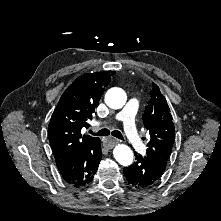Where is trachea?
Wrapping results in <instances>:
<instances>
[{
  "instance_id": "trachea-1",
  "label": "trachea",
  "mask_w": 221,
  "mask_h": 221,
  "mask_svg": "<svg viewBox=\"0 0 221 221\" xmlns=\"http://www.w3.org/2000/svg\"><path fill=\"white\" fill-rule=\"evenodd\" d=\"M89 133L96 136H107L110 134V131L108 129H101L97 133H93L91 130H89ZM112 135L118 139L124 140L122 134L117 130L112 131Z\"/></svg>"
}]
</instances>
